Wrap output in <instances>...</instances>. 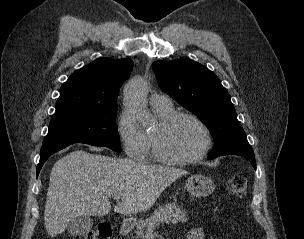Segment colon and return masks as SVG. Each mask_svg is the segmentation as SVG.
Here are the masks:
<instances>
[{
    "label": "colon",
    "instance_id": "5ec220e1",
    "mask_svg": "<svg viewBox=\"0 0 304 239\" xmlns=\"http://www.w3.org/2000/svg\"><path fill=\"white\" fill-rule=\"evenodd\" d=\"M227 191L234 197L241 198L245 196L247 191V175L244 173H236L227 181ZM112 236V228L109 224H101L79 236L77 239H110Z\"/></svg>",
    "mask_w": 304,
    "mask_h": 239
}]
</instances>
